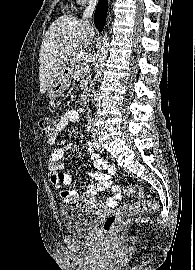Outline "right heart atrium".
<instances>
[{
    "mask_svg": "<svg viewBox=\"0 0 195 270\" xmlns=\"http://www.w3.org/2000/svg\"><path fill=\"white\" fill-rule=\"evenodd\" d=\"M78 1L84 3V2H87L89 0H78Z\"/></svg>",
    "mask_w": 195,
    "mask_h": 270,
    "instance_id": "right-heart-atrium-1",
    "label": "right heart atrium"
}]
</instances>
